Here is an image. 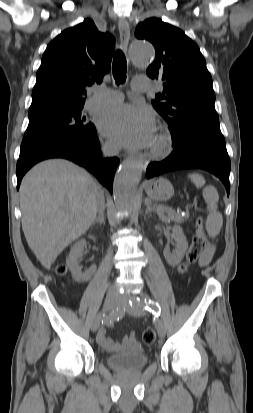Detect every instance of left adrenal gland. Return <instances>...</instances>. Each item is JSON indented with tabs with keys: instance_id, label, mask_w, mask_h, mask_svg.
<instances>
[{
	"instance_id": "1",
	"label": "left adrenal gland",
	"mask_w": 253,
	"mask_h": 413,
	"mask_svg": "<svg viewBox=\"0 0 253 413\" xmlns=\"http://www.w3.org/2000/svg\"><path fill=\"white\" fill-rule=\"evenodd\" d=\"M152 212H155V210L151 207V205H150V203L148 202V203H146V210H145V214L146 215H149V214H151Z\"/></svg>"
}]
</instances>
